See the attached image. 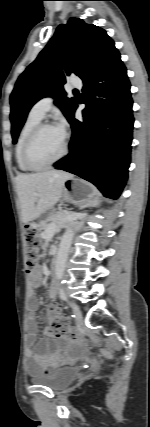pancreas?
<instances>
[{
    "label": "pancreas",
    "instance_id": "pancreas-1",
    "mask_svg": "<svg viewBox=\"0 0 150 427\" xmlns=\"http://www.w3.org/2000/svg\"><path fill=\"white\" fill-rule=\"evenodd\" d=\"M70 212L67 211H59L51 216H49V218L47 219V221H51L50 224H43L42 229L44 230V232H42L41 234H46L47 231L51 230V231H58L61 228L66 227V223L71 221L73 219V217L70 216Z\"/></svg>",
    "mask_w": 150,
    "mask_h": 427
}]
</instances>
